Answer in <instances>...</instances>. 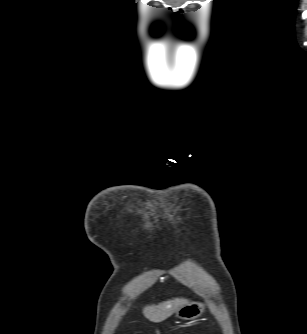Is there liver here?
I'll list each match as a JSON object with an SVG mask.
<instances>
[{
  "label": "liver",
  "instance_id": "6515ba94",
  "mask_svg": "<svg viewBox=\"0 0 307 334\" xmlns=\"http://www.w3.org/2000/svg\"><path fill=\"white\" fill-rule=\"evenodd\" d=\"M189 301L184 298H175L158 305L146 306L143 309L144 316L151 322H161L170 317Z\"/></svg>",
  "mask_w": 307,
  "mask_h": 334
}]
</instances>
